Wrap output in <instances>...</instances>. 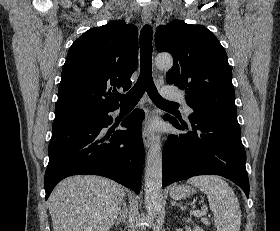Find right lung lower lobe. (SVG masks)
Instances as JSON below:
<instances>
[{
	"label": "right lung lower lobe",
	"instance_id": "98d812e1",
	"mask_svg": "<svg viewBox=\"0 0 280 231\" xmlns=\"http://www.w3.org/2000/svg\"><path fill=\"white\" fill-rule=\"evenodd\" d=\"M114 110L53 123L44 180L46 200L59 181L78 174L105 176L139 193L144 163V112L137 109L122 121L126 131L104 136L103 128L113 122L108 112Z\"/></svg>",
	"mask_w": 280,
	"mask_h": 231
}]
</instances>
